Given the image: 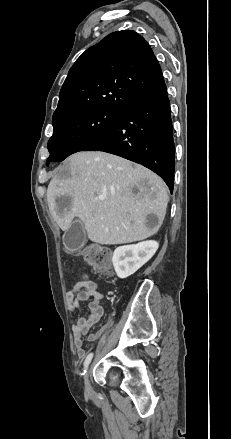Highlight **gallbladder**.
Here are the masks:
<instances>
[{
	"label": "gallbladder",
	"mask_w": 231,
	"mask_h": 439,
	"mask_svg": "<svg viewBox=\"0 0 231 439\" xmlns=\"http://www.w3.org/2000/svg\"><path fill=\"white\" fill-rule=\"evenodd\" d=\"M65 247L70 251L80 250L86 243V232L84 224L76 220L63 236Z\"/></svg>",
	"instance_id": "obj_1"
}]
</instances>
